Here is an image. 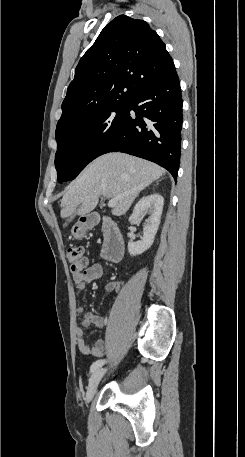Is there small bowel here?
<instances>
[{
	"label": "small bowel",
	"instance_id": "small-bowel-1",
	"mask_svg": "<svg viewBox=\"0 0 245 457\" xmlns=\"http://www.w3.org/2000/svg\"><path fill=\"white\" fill-rule=\"evenodd\" d=\"M104 273V267L101 264H94L83 271L73 270V280L77 284L79 289H82L86 284L96 281L102 277ZM123 282L116 280L108 283L105 290L108 293L117 294L122 288ZM79 314L81 316V326L76 328V345L79 352L83 355L99 357L104 353L118 350L123 344V338L113 329L108 328L103 339L97 340L94 345L89 346L85 341V328L95 327L102 328L104 325L103 318L83 312L82 308H79Z\"/></svg>",
	"mask_w": 245,
	"mask_h": 457
}]
</instances>
